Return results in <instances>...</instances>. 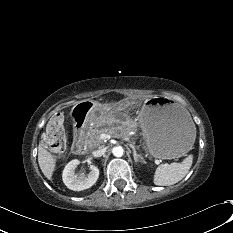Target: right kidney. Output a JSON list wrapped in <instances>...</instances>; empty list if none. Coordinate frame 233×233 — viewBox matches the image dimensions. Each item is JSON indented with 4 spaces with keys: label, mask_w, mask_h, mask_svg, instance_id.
<instances>
[{
    "label": "right kidney",
    "mask_w": 233,
    "mask_h": 233,
    "mask_svg": "<svg viewBox=\"0 0 233 233\" xmlns=\"http://www.w3.org/2000/svg\"><path fill=\"white\" fill-rule=\"evenodd\" d=\"M80 164V161L74 159L70 161L64 168L62 179L64 184L71 190L81 191L90 188L94 185L99 177V169L95 165H91V171L87 176L75 172V169Z\"/></svg>",
    "instance_id": "ca27d5eb"
}]
</instances>
